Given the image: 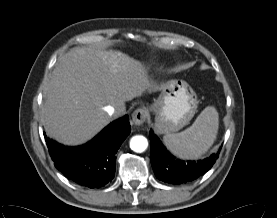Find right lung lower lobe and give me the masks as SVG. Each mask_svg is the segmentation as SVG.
Returning <instances> with one entry per match:
<instances>
[{
    "instance_id": "1",
    "label": "right lung lower lobe",
    "mask_w": 277,
    "mask_h": 218,
    "mask_svg": "<svg viewBox=\"0 0 277 218\" xmlns=\"http://www.w3.org/2000/svg\"><path fill=\"white\" fill-rule=\"evenodd\" d=\"M131 131L128 116L114 121L80 147H65L44 133L55 167L70 180L89 188H100L114 178L116 156Z\"/></svg>"
}]
</instances>
